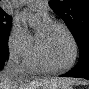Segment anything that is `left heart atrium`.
I'll return each instance as SVG.
<instances>
[{"mask_svg":"<svg viewBox=\"0 0 89 89\" xmlns=\"http://www.w3.org/2000/svg\"><path fill=\"white\" fill-rule=\"evenodd\" d=\"M23 19H27L29 17V13L25 12L22 15ZM51 24L50 19L47 16H44L43 22H42V26H43V30L46 29L49 25Z\"/></svg>","mask_w":89,"mask_h":89,"instance_id":"1","label":"left heart atrium"}]
</instances>
